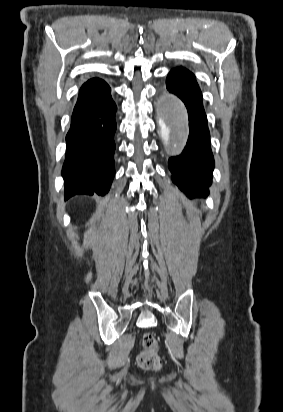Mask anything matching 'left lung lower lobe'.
Here are the masks:
<instances>
[{
	"label": "left lung lower lobe",
	"mask_w": 283,
	"mask_h": 412,
	"mask_svg": "<svg viewBox=\"0 0 283 412\" xmlns=\"http://www.w3.org/2000/svg\"><path fill=\"white\" fill-rule=\"evenodd\" d=\"M166 86L184 102L190 128L183 152L168 161L172 180L188 197H205L212 182L214 159L200 88L195 76L181 68L168 74Z\"/></svg>",
	"instance_id": "obj_1"
}]
</instances>
